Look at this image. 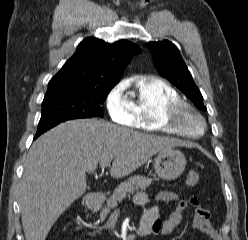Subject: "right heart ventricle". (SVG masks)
Returning <instances> with one entry per match:
<instances>
[{
  "instance_id": "e07e8e85",
  "label": "right heart ventricle",
  "mask_w": 248,
  "mask_h": 240,
  "mask_svg": "<svg viewBox=\"0 0 248 240\" xmlns=\"http://www.w3.org/2000/svg\"><path fill=\"white\" fill-rule=\"evenodd\" d=\"M179 92L159 78H145L138 82L136 97L131 100L136 124L149 132H170L161 123L162 111L169 103L180 100Z\"/></svg>"
}]
</instances>
